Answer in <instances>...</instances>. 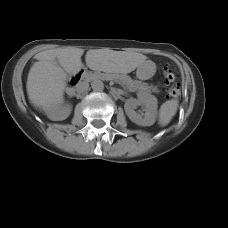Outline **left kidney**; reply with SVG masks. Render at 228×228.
Wrapping results in <instances>:
<instances>
[{
  "label": "left kidney",
  "mask_w": 228,
  "mask_h": 228,
  "mask_svg": "<svg viewBox=\"0 0 228 228\" xmlns=\"http://www.w3.org/2000/svg\"><path fill=\"white\" fill-rule=\"evenodd\" d=\"M143 104L145 113L143 117L135 112V108ZM158 101L149 94H141L137 99L129 98L125 101L124 109L129 119L139 126H151L155 123Z\"/></svg>",
  "instance_id": "obj_1"
}]
</instances>
